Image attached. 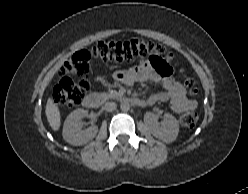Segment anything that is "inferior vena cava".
Listing matches in <instances>:
<instances>
[{"mask_svg": "<svg viewBox=\"0 0 248 194\" xmlns=\"http://www.w3.org/2000/svg\"><path fill=\"white\" fill-rule=\"evenodd\" d=\"M116 108H117V105L115 102H107L104 105V110L108 112L114 111Z\"/></svg>", "mask_w": 248, "mask_h": 194, "instance_id": "inferior-vena-cava-1", "label": "inferior vena cava"}]
</instances>
